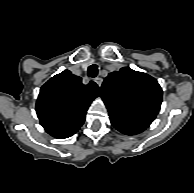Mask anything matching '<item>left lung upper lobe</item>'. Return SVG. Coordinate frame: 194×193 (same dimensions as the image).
Here are the masks:
<instances>
[{
	"instance_id": "1",
	"label": "left lung upper lobe",
	"mask_w": 194,
	"mask_h": 193,
	"mask_svg": "<svg viewBox=\"0 0 194 193\" xmlns=\"http://www.w3.org/2000/svg\"><path fill=\"white\" fill-rule=\"evenodd\" d=\"M102 99L109 116L148 128L160 110L162 89L146 73L123 67L102 84Z\"/></svg>"
}]
</instances>
